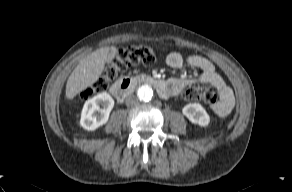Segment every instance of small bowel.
Instances as JSON below:
<instances>
[{"label": "small bowel", "mask_w": 292, "mask_h": 192, "mask_svg": "<svg viewBox=\"0 0 292 192\" xmlns=\"http://www.w3.org/2000/svg\"><path fill=\"white\" fill-rule=\"evenodd\" d=\"M114 50L109 53V59L113 58ZM187 62L190 66L200 70L196 78H170L168 96L179 94L185 87L193 84L202 83L214 86L220 96V101L211 106L218 116L227 115L234 104V97L231 89L226 85L222 77L217 73L213 63L205 57L191 55L186 59L178 52H172L166 57V64L173 69H180Z\"/></svg>", "instance_id": "c3829d8e"}]
</instances>
